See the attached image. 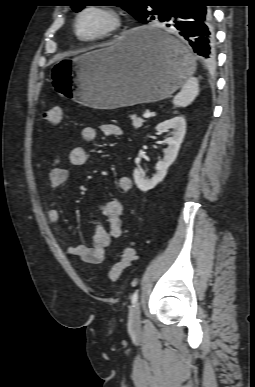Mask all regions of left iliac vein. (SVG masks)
<instances>
[{
  "label": "left iliac vein",
  "mask_w": 255,
  "mask_h": 387,
  "mask_svg": "<svg viewBox=\"0 0 255 387\" xmlns=\"http://www.w3.org/2000/svg\"><path fill=\"white\" fill-rule=\"evenodd\" d=\"M141 323V311L139 303H135L129 313V328L131 330H138Z\"/></svg>",
  "instance_id": "4c4485c4"
}]
</instances>
